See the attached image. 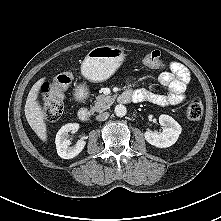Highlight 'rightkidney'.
Wrapping results in <instances>:
<instances>
[{"label":"right kidney","instance_id":"1","mask_svg":"<svg viewBox=\"0 0 221 221\" xmlns=\"http://www.w3.org/2000/svg\"><path fill=\"white\" fill-rule=\"evenodd\" d=\"M79 129V124L68 123L60 128L56 134L55 144L58 155L63 159H72L78 156L84 149L86 142L79 140L75 146H71V141L68 139L69 132H76Z\"/></svg>","mask_w":221,"mask_h":221}]
</instances>
